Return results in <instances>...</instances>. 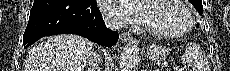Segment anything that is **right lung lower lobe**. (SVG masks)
Listing matches in <instances>:
<instances>
[{
  "mask_svg": "<svg viewBox=\"0 0 230 71\" xmlns=\"http://www.w3.org/2000/svg\"><path fill=\"white\" fill-rule=\"evenodd\" d=\"M73 33L105 47L113 46L118 32L107 29L96 0H34L23 35L24 48L44 36Z\"/></svg>",
  "mask_w": 230,
  "mask_h": 71,
  "instance_id": "98d812e1",
  "label": "right lung lower lobe"
}]
</instances>
